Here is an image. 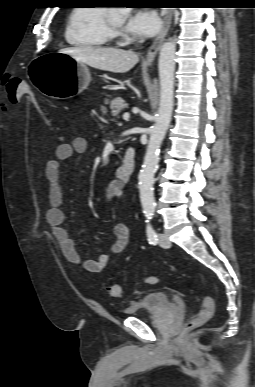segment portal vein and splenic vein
Instances as JSON below:
<instances>
[{
  "mask_svg": "<svg viewBox=\"0 0 255 387\" xmlns=\"http://www.w3.org/2000/svg\"><path fill=\"white\" fill-rule=\"evenodd\" d=\"M130 117V114L128 112H125L124 115H123V118L124 119H128Z\"/></svg>",
  "mask_w": 255,
  "mask_h": 387,
  "instance_id": "portal-vein-and-splenic-vein-1",
  "label": "portal vein and splenic vein"
}]
</instances>
